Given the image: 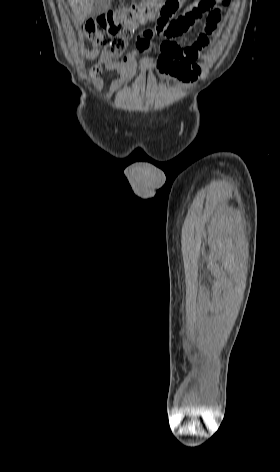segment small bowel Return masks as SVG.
I'll return each instance as SVG.
<instances>
[{"mask_svg":"<svg viewBox=\"0 0 280 472\" xmlns=\"http://www.w3.org/2000/svg\"><path fill=\"white\" fill-rule=\"evenodd\" d=\"M201 1H193L177 18L165 22L157 21L154 29L144 30L136 40V49L127 53L122 59L111 58L98 50H85V56L95 60L90 68L95 88L101 90L103 87V79L100 76L103 71H113L118 74V78L111 83L106 93V99H110L125 83L133 80L138 65V53L147 51L151 46V39L155 36L161 39L160 54L155 61L156 73L175 80L179 86L193 82L200 73V67L196 62L199 53L208 46L218 22L213 24L207 22L204 32L191 46L183 48L176 39L190 31L207 12L200 8Z\"/></svg>","mask_w":280,"mask_h":472,"instance_id":"small-bowel-1","label":"small bowel"}]
</instances>
